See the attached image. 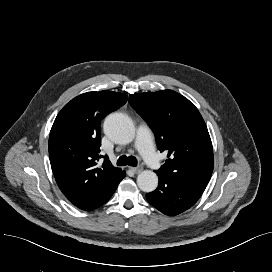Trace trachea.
<instances>
[{
  "label": "trachea",
  "instance_id": "trachea-1",
  "mask_svg": "<svg viewBox=\"0 0 272 272\" xmlns=\"http://www.w3.org/2000/svg\"><path fill=\"white\" fill-rule=\"evenodd\" d=\"M117 165L119 166H137V159L133 156H120L119 159L117 160Z\"/></svg>",
  "mask_w": 272,
  "mask_h": 272
}]
</instances>
